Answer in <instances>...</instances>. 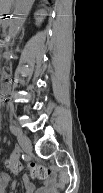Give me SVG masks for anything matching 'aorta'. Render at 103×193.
I'll return each instance as SVG.
<instances>
[{
  "label": "aorta",
  "mask_w": 103,
  "mask_h": 193,
  "mask_svg": "<svg viewBox=\"0 0 103 193\" xmlns=\"http://www.w3.org/2000/svg\"><path fill=\"white\" fill-rule=\"evenodd\" d=\"M34 0H17L13 18L10 21L8 38L12 39L21 29Z\"/></svg>",
  "instance_id": "aorta-1"
}]
</instances>
